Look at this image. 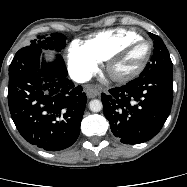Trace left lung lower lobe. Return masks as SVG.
Wrapping results in <instances>:
<instances>
[{
	"instance_id": "0a47b994",
	"label": "left lung lower lobe",
	"mask_w": 187,
	"mask_h": 187,
	"mask_svg": "<svg viewBox=\"0 0 187 187\" xmlns=\"http://www.w3.org/2000/svg\"><path fill=\"white\" fill-rule=\"evenodd\" d=\"M104 115L112 133L125 144L153 138L168 118L173 102V73L138 77L102 93Z\"/></svg>"
}]
</instances>
